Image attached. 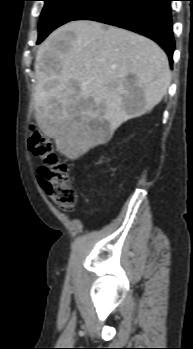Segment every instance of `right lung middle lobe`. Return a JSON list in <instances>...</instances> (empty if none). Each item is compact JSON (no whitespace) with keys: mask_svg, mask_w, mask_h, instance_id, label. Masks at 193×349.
I'll return each mask as SVG.
<instances>
[{"mask_svg":"<svg viewBox=\"0 0 193 349\" xmlns=\"http://www.w3.org/2000/svg\"><path fill=\"white\" fill-rule=\"evenodd\" d=\"M37 44L57 27L73 20L96 0H43Z\"/></svg>","mask_w":193,"mask_h":349,"instance_id":"right-lung-middle-lobe-1","label":"right lung middle lobe"}]
</instances>
